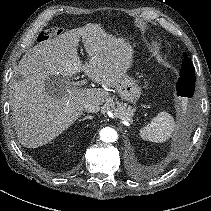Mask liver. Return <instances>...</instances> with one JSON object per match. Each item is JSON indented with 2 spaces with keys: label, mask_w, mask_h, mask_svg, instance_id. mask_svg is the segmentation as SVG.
<instances>
[{
  "label": "liver",
  "mask_w": 211,
  "mask_h": 211,
  "mask_svg": "<svg viewBox=\"0 0 211 211\" xmlns=\"http://www.w3.org/2000/svg\"><path fill=\"white\" fill-rule=\"evenodd\" d=\"M80 39L90 56L84 65L78 56ZM132 54L124 38L91 23L29 49L14 70L11 86L12 122L21 144L37 148L49 143L80 117L87 103L99 111L108 97L105 88L116 87L130 68ZM81 71L104 89L76 87L70 79ZM50 76H63L57 97L45 90Z\"/></svg>",
  "instance_id": "liver-1"
}]
</instances>
